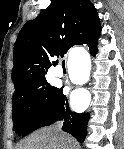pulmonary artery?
I'll return each mask as SVG.
<instances>
[{
	"instance_id": "1",
	"label": "pulmonary artery",
	"mask_w": 124,
	"mask_h": 149,
	"mask_svg": "<svg viewBox=\"0 0 124 149\" xmlns=\"http://www.w3.org/2000/svg\"><path fill=\"white\" fill-rule=\"evenodd\" d=\"M55 73L57 76H63V72L60 68H58Z\"/></svg>"
}]
</instances>
